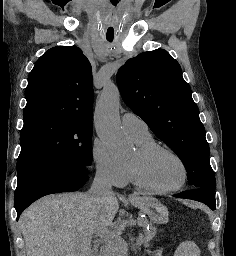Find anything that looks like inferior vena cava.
<instances>
[{
	"label": "inferior vena cava",
	"mask_w": 236,
	"mask_h": 256,
	"mask_svg": "<svg viewBox=\"0 0 236 256\" xmlns=\"http://www.w3.org/2000/svg\"><path fill=\"white\" fill-rule=\"evenodd\" d=\"M111 188L112 180L110 170L97 166L96 176L89 190V194H91L92 198H95L97 202H103V200H107V198L108 200H111L114 196Z\"/></svg>",
	"instance_id": "602c4592"
}]
</instances>
